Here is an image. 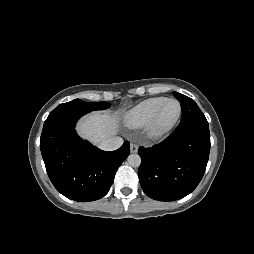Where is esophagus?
Wrapping results in <instances>:
<instances>
[{"instance_id":"34e87169","label":"esophagus","mask_w":254,"mask_h":254,"mask_svg":"<svg viewBox=\"0 0 254 254\" xmlns=\"http://www.w3.org/2000/svg\"><path fill=\"white\" fill-rule=\"evenodd\" d=\"M130 151L131 153H136L138 151V145L135 143L130 144Z\"/></svg>"}]
</instances>
